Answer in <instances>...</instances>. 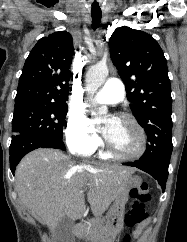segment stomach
<instances>
[{"instance_id":"0dacf381","label":"stomach","mask_w":187,"mask_h":242,"mask_svg":"<svg viewBox=\"0 0 187 242\" xmlns=\"http://www.w3.org/2000/svg\"><path fill=\"white\" fill-rule=\"evenodd\" d=\"M142 180L132 175L128 180L127 190L115 198L106 215V224L99 226L92 234V242H114L124 225L125 205L130 198V192L140 187Z\"/></svg>"}]
</instances>
